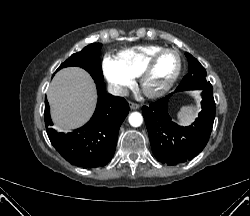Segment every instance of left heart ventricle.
Wrapping results in <instances>:
<instances>
[{
  "label": "left heart ventricle",
  "instance_id": "1",
  "mask_svg": "<svg viewBox=\"0 0 250 216\" xmlns=\"http://www.w3.org/2000/svg\"><path fill=\"white\" fill-rule=\"evenodd\" d=\"M177 66L178 59L174 53H165L160 56L146 78V90L153 92L162 89L174 75Z\"/></svg>",
  "mask_w": 250,
  "mask_h": 216
}]
</instances>
